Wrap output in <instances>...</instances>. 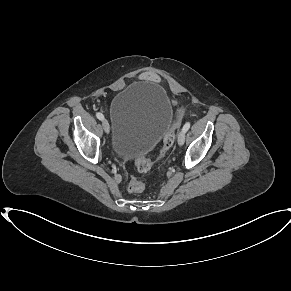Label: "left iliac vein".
Returning <instances> with one entry per match:
<instances>
[{
	"label": "left iliac vein",
	"mask_w": 291,
	"mask_h": 291,
	"mask_svg": "<svg viewBox=\"0 0 291 291\" xmlns=\"http://www.w3.org/2000/svg\"><path fill=\"white\" fill-rule=\"evenodd\" d=\"M185 133L183 130L179 133L178 135V144L180 146H182L184 144V141H185Z\"/></svg>",
	"instance_id": "obj_1"
}]
</instances>
